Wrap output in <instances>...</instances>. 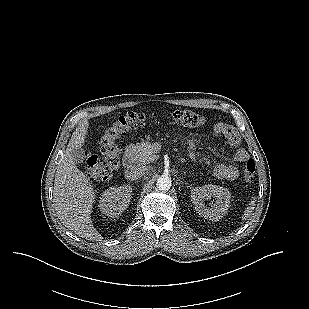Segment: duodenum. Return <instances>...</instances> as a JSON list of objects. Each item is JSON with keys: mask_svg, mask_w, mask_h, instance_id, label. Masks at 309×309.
Here are the masks:
<instances>
[{"mask_svg": "<svg viewBox=\"0 0 309 309\" xmlns=\"http://www.w3.org/2000/svg\"><path fill=\"white\" fill-rule=\"evenodd\" d=\"M135 162V153L128 150L123 156V164L126 168H130Z\"/></svg>", "mask_w": 309, "mask_h": 309, "instance_id": "410a0bca", "label": "duodenum"}]
</instances>
